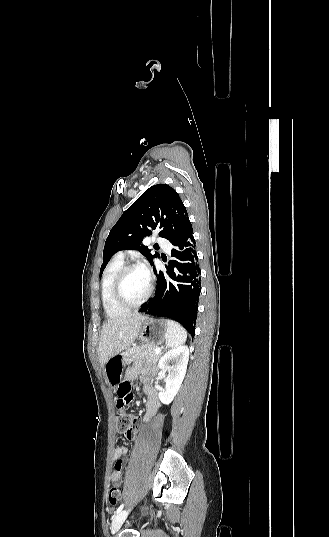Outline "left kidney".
<instances>
[{"instance_id":"obj_1","label":"left kidney","mask_w":329,"mask_h":537,"mask_svg":"<svg viewBox=\"0 0 329 537\" xmlns=\"http://www.w3.org/2000/svg\"><path fill=\"white\" fill-rule=\"evenodd\" d=\"M188 358L189 349L186 346L171 349L160 358L158 367L168 371L165 390L159 392V400L163 404H170L177 395L186 374Z\"/></svg>"}]
</instances>
